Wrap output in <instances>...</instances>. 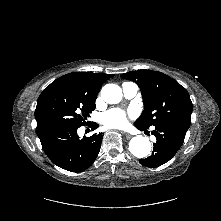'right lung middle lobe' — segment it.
Instances as JSON below:
<instances>
[{
	"instance_id": "dd1d6c3e",
	"label": "right lung middle lobe",
	"mask_w": 221,
	"mask_h": 221,
	"mask_svg": "<svg viewBox=\"0 0 221 221\" xmlns=\"http://www.w3.org/2000/svg\"><path fill=\"white\" fill-rule=\"evenodd\" d=\"M95 109V100L67 82L53 81L39 96L35 110L36 133L42 136L49 131L65 127H81Z\"/></svg>"
}]
</instances>
